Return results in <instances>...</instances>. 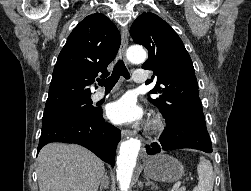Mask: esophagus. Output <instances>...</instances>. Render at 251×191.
<instances>
[{
    "label": "esophagus",
    "mask_w": 251,
    "mask_h": 191,
    "mask_svg": "<svg viewBox=\"0 0 251 191\" xmlns=\"http://www.w3.org/2000/svg\"><path fill=\"white\" fill-rule=\"evenodd\" d=\"M128 47V29L126 27L121 30V45H120V55L125 60L126 50ZM134 133L131 130H122V138H129L133 136Z\"/></svg>",
    "instance_id": "1"
}]
</instances>
